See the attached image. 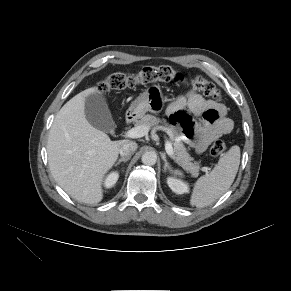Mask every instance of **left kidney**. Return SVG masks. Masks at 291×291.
I'll use <instances>...</instances> for the list:
<instances>
[{"label":"left kidney","instance_id":"1","mask_svg":"<svg viewBox=\"0 0 291 291\" xmlns=\"http://www.w3.org/2000/svg\"><path fill=\"white\" fill-rule=\"evenodd\" d=\"M167 184L170 189L177 194H184L189 192V186L185 182L174 177H168Z\"/></svg>","mask_w":291,"mask_h":291}]
</instances>
